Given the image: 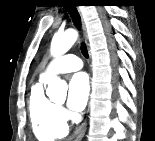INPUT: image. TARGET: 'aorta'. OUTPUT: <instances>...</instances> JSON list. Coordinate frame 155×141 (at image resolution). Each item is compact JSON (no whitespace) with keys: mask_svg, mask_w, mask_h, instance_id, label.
I'll list each match as a JSON object with an SVG mask.
<instances>
[{"mask_svg":"<svg viewBox=\"0 0 155 141\" xmlns=\"http://www.w3.org/2000/svg\"><path fill=\"white\" fill-rule=\"evenodd\" d=\"M78 33L74 29H68L62 33H56L51 41V54L59 57L65 54L77 40ZM46 94L54 102H63L67 95V84L59 77H52L48 82Z\"/></svg>","mask_w":155,"mask_h":141,"instance_id":"obj_1","label":"aorta"}]
</instances>
